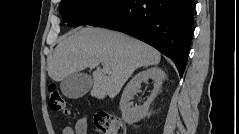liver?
<instances>
[{"label":"liver","mask_w":239,"mask_h":134,"mask_svg":"<svg viewBox=\"0 0 239 134\" xmlns=\"http://www.w3.org/2000/svg\"><path fill=\"white\" fill-rule=\"evenodd\" d=\"M161 54L153 47L120 32L103 28L85 27L64 38L55 48L48 62V75L54 81L85 68L91 70L100 63L110 68L109 73L93 72L91 96L114 98L124 83L139 67L157 65Z\"/></svg>","instance_id":"1"}]
</instances>
